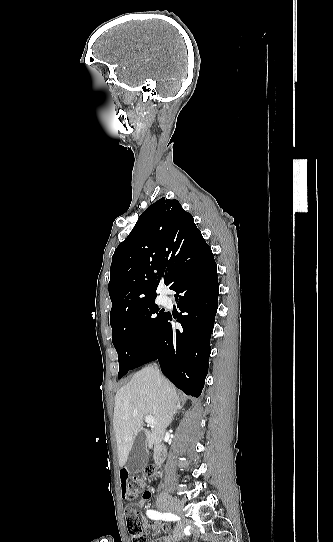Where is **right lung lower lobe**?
I'll list each match as a JSON object with an SVG mask.
<instances>
[{"label":"right lung lower lobe","mask_w":333,"mask_h":542,"mask_svg":"<svg viewBox=\"0 0 333 542\" xmlns=\"http://www.w3.org/2000/svg\"><path fill=\"white\" fill-rule=\"evenodd\" d=\"M176 262L178 277L170 289L177 293L180 313L174 318L167 313L153 345L134 368L158 360L163 374L177 388L199 397L208 372L210 337L218 307L217 266L204 239L181 248ZM175 322L181 323L182 329H176Z\"/></svg>","instance_id":"right-lung-lower-lobe-1"}]
</instances>
